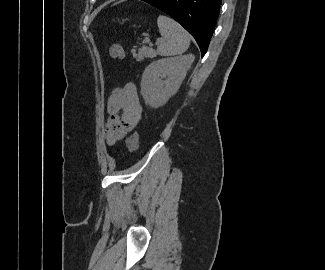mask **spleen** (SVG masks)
<instances>
[{"label": "spleen", "instance_id": "obj_1", "mask_svg": "<svg viewBox=\"0 0 325 270\" xmlns=\"http://www.w3.org/2000/svg\"><path fill=\"white\" fill-rule=\"evenodd\" d=\"M157 25L164 42L157 47L160 56H174L184 53L190 45L188 32L175 20L160 15Z\"/></svg>", "mask_w": 325, "mask_h": 270}]
</instances>
